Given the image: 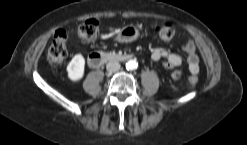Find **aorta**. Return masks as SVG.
I'll list each match as a JSON object with an SVG mask.
<instances>
[{
	"mask_svg": "<svg viewBox=\"0 0 247 145\" xmlns=\"http://www.w3.org/2000/svg\"><path fill=\"white\" fill-rule=\"evenodd\" d=\"M138 67V63L136 60H129L126 63L127 70H134Z\"/></svg>",
	"mask_w": 247,
	"mask_h": 145,
	"instance_id": "1",
	"label": "aorta"
}]
</instances>
